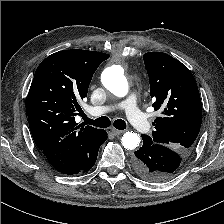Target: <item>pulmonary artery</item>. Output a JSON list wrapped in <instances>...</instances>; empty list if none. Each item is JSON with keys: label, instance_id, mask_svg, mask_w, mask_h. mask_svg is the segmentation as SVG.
<instances>
[{"label": "pulmonary artery", "instance_id": "1", "mask_svg": "<svg viewBox=\"0 0 224 224\" xmlns=\"http://www.w3.org/2000/svg\"><path fill=\"white\" fill-rule=\"evenodd\" d=\"M116 107L125 108L127 115L134 127L141 133H146L150 129V124L146 116L137 107V98L131 95L126 101L115 106L94 107L89 113L94 116H100L114 110Z\"/></svg>", "mask_w": 224, "mask_h": 224}]
</instances>
